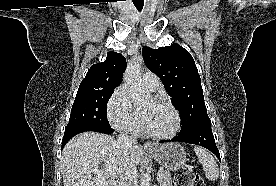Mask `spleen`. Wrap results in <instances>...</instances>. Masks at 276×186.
<instances>
[{
	"mask_svg": "<svg viewBox=\"0 0 276 186\" xmlns=\"http://www.w3.org/2000/svg\"><path fill=\"white\" fill-rule=\"evenodd\" d=\"M195 154L205 170V176L208 180L215 181L219 177V168L213 156L202 147H194Z\"/></svg>",
	"mask_w": 276,
	"mask_h": 186,
	"instance_id": "1",
	"label": "spleen"
}]
</instances>
